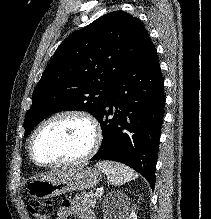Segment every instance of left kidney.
Segmentation results:
<instances>
[{
	"label": "left kidney",
	"instance_id": "5707ae66",
	"mask_svg": "<svg viewBox=\"0 0 211 219\" xmlns=\"http://www.w3.org/2000/svg\"><path fill=\"white\" fill-rule=\"evenodd\" d=\"M116 197L120 200L119 204L123 206L124 200L126 199V196L124 194L117 193ZM109 216L110 215L106 214L104 216V219H109ZM113 216L116 219H137V215H136L135 211L133 209H129L127 206L126 207L124 206L123 210H119V211L115 212L113 214Z\"/></svg>",
	"mask_w": 211,
	"mask_h": 219
}]
</instances>
